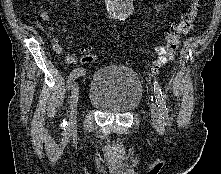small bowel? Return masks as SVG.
<instances>
[{
  "label": "small bowel",
  "instance_id": "c3829d8e",
  "mask_svg": "<svg viewBox=\"0 0 221 174\" xmlns=\"http://www.w3.org/2000/svg\"><path fill=\"white\" fill-rule=\"evenodd\" d=\"M164 7V5H158L157 7H156V9L157 10H160V9H162ZM40 18L43 20V21H47V15L44 13V12H41L40 13ZM59 30L61 31V32H65L66 31V29H65V27L64 26H59ZM52 45H53V48L55 49V51H57V52H61L62 51V47H61V44L56 40V39H52ZM76 56H72V55H67V56H65V61L67 62V63H70V64H72V63H75L76 62Z\"/></svg>",
  "mask_w": 221,
  "mask_h": 174
}]
</instances>
